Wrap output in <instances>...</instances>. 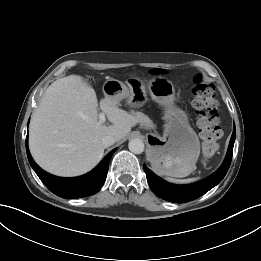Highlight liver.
I'll return each instance as SVG.
<instances>
[{
  "instance_id": "1",
  "label": "liver",
  "mask_w": 261,
  "mask_h": 261,
  "mask_svg": "<svg viewBox=\"0 0 261 261\" xmlns=\"http://www.w3.org/2000/svg\"><path fill=\"white\" fill-rule=\"evenodd\" d=\"M100 109L112 125L98 120L94 89L80 76L54 81L35 110L29 127V148L36 163L58 176H78L102 159V137L120 141L139 120L112 100L100 101Z\"/></svg>"
}]
</instances>
